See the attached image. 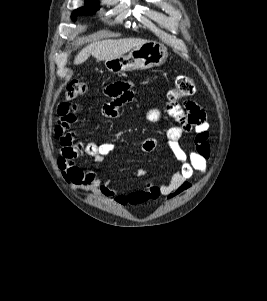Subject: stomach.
<instances>
[{
  "instance_id": "1",
  "label": "stomach",
  "mask_w": 267,
  "mask_h": 301,
  "mask_svg": "<svg viewBox=\"0 0 267 301\" xmlns=\"http://www.w3.org/2000/svg\"><path fill=\"white\" fill-rule=\"evenodd\" d=\"M167 48L157 42L148 41L133 48L128 55L105 61L108 71L119 74L132 70H145L161 66L167 59Z\"/></svg>"
}]
</instances>
